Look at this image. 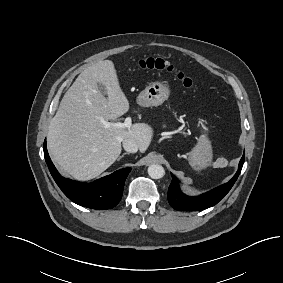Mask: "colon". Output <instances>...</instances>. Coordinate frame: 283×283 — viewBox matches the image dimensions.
<instances>
[{
    "instance_id": "obj_1",
    "label": "colon",
    "mask_w": 283,
    "mask_h": 283,
    "mask_svg": "<svg viewBox=\"0 0 283 283\" xmlns=\"http://www.w3.org/2000/svg\"><path fill=\"white\" fill-rule=\"evenodd\" d=\"M139 67L145 71H158L176 75L185 88H192L194 83L191 78L178 72L173 65L161 58H145L139 62Z\"/></svg>"
}]
</instances>
